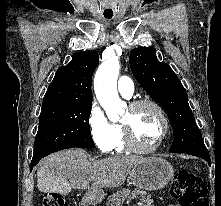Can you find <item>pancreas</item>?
<instances>
[{
	"instance_id": "cf45deb5",
	"label": "pancreas",
	"mask_w": 221,
	"mask_h": 206,
	"mask_svg": "<svg viewBox=\"0 0 221 206\" xmlns=\"http://www.w3.org/2000/svg\"><path fill=\"white\" fill-rule=\"evenodd\" d=\"M137 197L139 199L138 204L140 206H153V199L150 195H146L145 192L125 189L123 192H116L108 197L107 206H123L125 201L131 198Z\"/></svg>"
}]
</instances>
